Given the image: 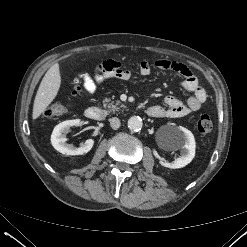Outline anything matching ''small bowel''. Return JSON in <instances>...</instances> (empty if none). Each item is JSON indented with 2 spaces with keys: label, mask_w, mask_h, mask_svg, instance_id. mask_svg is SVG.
Here are the masks:
<instances>
[{
  "label": "small bowel",
  "mask_w": 247,
  "mask_h": 247,
  "mask_svg": "<svg viewBox=\"0 0 247 247\" xmlns=\"http://www.w3.org/2000/svg\"><path fill=\"white\" fill-rule=\"evenodd\" d=\"M154 65L161 70H170L183 77L182 87L191 92L192 95L186 103H183L175 96L165 98V106L154 105L148 108V115L154 118H179L195 112L207 98L206 90L200 85L198 78L183 63L168 59L157 60ZM152 71L151 64L144 60L139 64V73L148 76ZM132 76V72L124 69L120 62L107 60L101 63L96 72L91 75L82 73L84 88L90 95H93L98 85L111 78L127 80Z\"/></svg>",
  "instance_id": "obj_1"
}]
</instances>
